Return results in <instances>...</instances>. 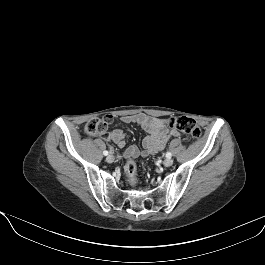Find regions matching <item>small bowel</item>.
<instances>
[{"instance_id":"1","label":"small bowel","mask_w":265,"mask_h":265,"mask_svg":"<svg viewBox=\"0 0 265 265\" xmlns=\"http://www.w3.org/2000/svg\"><path fill=\"white\" fill-rule=\"evenodd\" d=\"M120 122L122 124L135 123L147 133L142 142V149L134 145L127 147L124 152L126 158L146 157L164 149L170 137H182L177 129L166 126V119L144 113L124 115L120 118ZM103 136L114 142L119 148H124L127 144V135L120 127L103 134Z\"/></svg>"}]
</instances>
